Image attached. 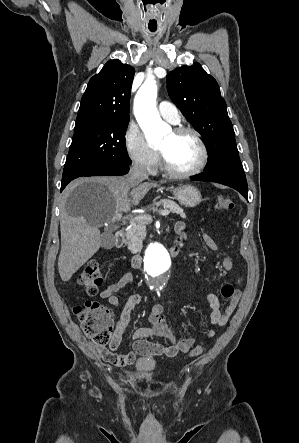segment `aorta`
Segmentation results:
<instances>
[{
    "label": "aorta",
    "mask_w": 299,
    "mask_h": 443,
    "mask_svg": "<svg viewBox=\"0 0 299 443\" xmlns=\"http://www.w3.org/2000/svg\"><path fill=\"white\" fill-rule=\"evenodd\" d=\"M157 85L149 77L134 98V115L149 144H158L170 132V126L162 121L156 109ZM144 266L152 278H160L171 266V258L159 242L151 243L146 251Z\"/></svg>",
    "instance_id": "obj_1"
}]
</instances>
